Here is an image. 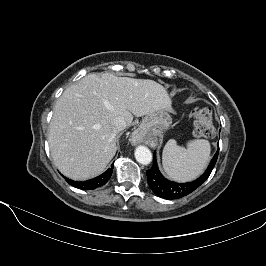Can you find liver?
I'll list each match as a JSON object with an SVG mask.
<instances>
[{
  "mask_svg": "<svg viewBox=\"0 0 266 266\" xmlns=\"http://www.w3.org/2000/svg\"><path fill=\"white\" fill-rule=\"evenodd\" d=\"M171 103L167 91L153 80L86 75L56 102L48 129L55 166L73 180L100 174L117 151L112 121L121 117L130 126L133 115L171 111Z\"/></svg>",
  "mask_w": 266,
  "mask_h": 266,
  "instance_id": "liver-1",
  "label": "liver"
}]
</instances>
